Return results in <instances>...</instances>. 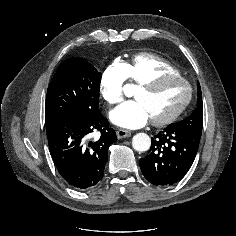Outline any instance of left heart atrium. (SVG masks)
I'll list each match as a JSON object with an SVG mask.
<instances>
[{
  "instance_id": "left-heart-atrium-1",
  "label": "left heart atrium",
  "mask_w": 236,
  "mask_h": 236,
  "mask_svg": "<svg viewBox=\"0 0 236 236\" xmlns=\"http://www.w3.org/2000/svg\"><path fill=\"white\" fill-rule=\"evenodd\" d=\"M110 119L118 126L136 129L144 126L150 115L144 103L136 99L127 101L111 111Z\"/></svg>"
}]
</instances>
